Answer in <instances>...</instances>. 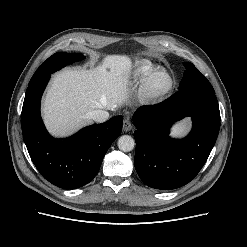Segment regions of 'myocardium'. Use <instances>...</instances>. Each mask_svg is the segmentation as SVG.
Returning <instances> with one entry per match:
<instances>
[{
    "mask_svg": "<svg viewBox=\"0 0 247 247\" xmlns=\"http://www.w3.org/2000/svg\"><path fill=\"white\" fill-rule=\"evenodd\" d=\"M156 74H163L169 79V87L165 92L159 95H154L149 91V83ZM174 87L175 81L173 76L166 69L156 68L147 73L141 80L138 89V97L143 103L157 104L167 99L172 94Z\"/></svg>",
    "mask_w": 247,
    "mask_h": 247,
    "instance_id": "1",
    "label": "myocardium"
}]
</instances>
